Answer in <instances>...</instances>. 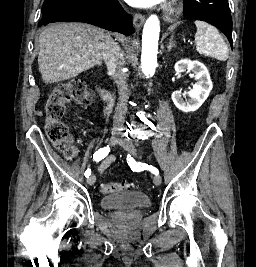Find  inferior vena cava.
<instances>
[{"label": "inferior vena cava", "mask_w": 256, "mask_h": 267, "mask_svg": "<svg viewBox=\"0 0 256 267\" xmlns=\"http://www.w3.org/2000/svg\"><path fill=\"white\" fill-rule=\"evenodd\" d=\"M100 50L109 72H113V78L119 90V102L115 108L113 128H122L129 100L127 84L128 74L124 72L125 62L121 54V48L114 40H107V42L101 44Z\"/></svg>", "instance_id": "inferior-vena-cava-1"}]
</instances>
